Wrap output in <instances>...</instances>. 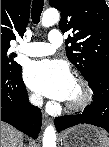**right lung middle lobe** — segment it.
I'll return each mask as SVG.
<instances>
[{"label": "right lung middle lobe", "instance_id": "right-lung-middle-lobe-1", "mask_svg": "<svg viewBox=\"0 0 109 147\" xmlns=\"http://www.w3.org/2000/svg\"><path fill=\"white\" fill-rule=\"evenodd\" d=\"M20 65L13 61V56L8 55L7 48H1V70L3 71H14Z\"/></svg>", "mask_w": 109, "mask_h": 147}]
</instances>
